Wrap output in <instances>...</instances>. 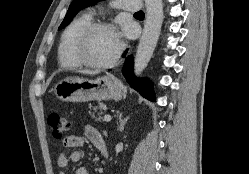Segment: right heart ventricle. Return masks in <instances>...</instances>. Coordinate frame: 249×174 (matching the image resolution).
<instances>
[{
	"label": "right heart ventricle",
	"mask_w": 249,
	"mask_h": 174,
	"mask_svg": "<svg viewBox=\"0 0 249 174\" xmlns=\"http://www.w3.org/2000/svg\"><path fill=\"white\" fill-rule=\"evenodd\" d=\"M90 24L91 17L83 15L66 28L58 47V61L61 67L74 70L82 66L75 56L74 49L79 36Z\"/></svg>",
	"instance_id": "e07e8e85"
}]
</instances>
